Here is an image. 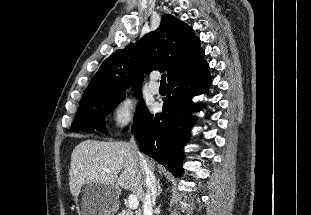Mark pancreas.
Returning <instances> with one entry per match:
<instances>
[{
  "instance_id": "1",
  "label": "pancreas",
  "mask_w": 311,
  "mask_h": 215,
  "mask_svg": "<svg viewBox=\"0 0 311 215\" xmlns=\"http://www.w3.org/2000/svg\"><path fill=\"white\" fill-rule=\"evenodd\" d=\"M119 215H134V213L131 210H122Z\"/></svg>"
}]
</instances>
